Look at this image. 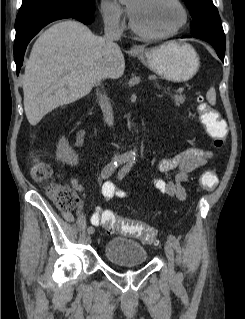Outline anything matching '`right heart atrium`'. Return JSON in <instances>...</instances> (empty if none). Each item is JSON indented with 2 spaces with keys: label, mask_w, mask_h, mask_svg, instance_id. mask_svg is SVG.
Here are the masks:
<instances>
[{
  "label": "right heart atrium",
  "mask_w": 245,
  "mask_h": 319,
  "mask_svg": "<svg viewBox=\"0 0 245 319\" xmlns=\"http://www.w3.org/2000/svg\"><path fill=\"white\" fill-rule=\"evenodd\" d=\"M101 14L107 27L120 31L124 27L123 12L119 6L109 0L101 3Z\"/></svg>",
  "instance_id": "d8ad5b80"
}]
</instances>
